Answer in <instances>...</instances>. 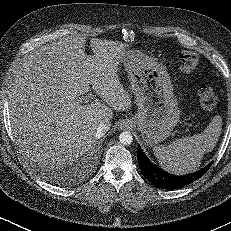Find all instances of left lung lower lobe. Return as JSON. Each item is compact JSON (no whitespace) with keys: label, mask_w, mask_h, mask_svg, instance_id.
I'll return each mask as SVG.
<instances>
[{"label":"left lung lower lobe","mask_w":231,"mask_h":231,"mask_svg":"<svg viewBox=\"0 0 231 231\" xmlns=\"http://www.w3.org/2000/svg\"><path fill=\"white\" fill-rule=\"evenodd\" d=\"M137 159L143 176L154 185L165 189H177L185 185L191 184L192 182L203 176L212 165L211 162L199 171L188 175L176 176L171 175L154 165L147 158V156L140 147H138Z\"/></svg>","instance_id":"obj_1"}]
</instances>
